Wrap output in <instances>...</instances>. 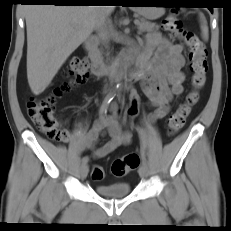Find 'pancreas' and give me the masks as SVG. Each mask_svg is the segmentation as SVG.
<instances>
[{
    "label": "pancreas",
    "mask_w": 231,
    "mask_h": 231,
    "mask_svg": "<svg viewBox=\"0 0 231 231\" xmlns=\"http://www.w3.org/2000/svg\"><path fill=\"white\" fill-rule=\"evenodd\" d=\"M155 29H159V26L145 19H140L139 24H138V30L140 33L151 32V31H154Z\"/></svg>",
    "instance_id": "pancreas-1"
}]
</instances>
